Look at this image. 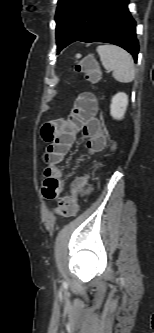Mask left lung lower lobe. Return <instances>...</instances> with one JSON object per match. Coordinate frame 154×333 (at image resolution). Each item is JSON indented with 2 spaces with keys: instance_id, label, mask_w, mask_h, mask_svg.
Segmentation results:
<instances>
[{
  "instance_id": "obj_1",
  "label": "left lung lower lobe",
  "mask_w": 154,
  "mask_h": 333,
  "mask_svg": "<svg viewBox=\"0 0 154 333\" xmlns=\"http://www.w3.org/2000/svg\"><path fill=\"white\" fill-rule=\"evenodd\" d=\"M128 2L97 0L63 48L76 41L106 42L124 48L137 61L139 45L135 21L127 8Z\"/></svg>"
}]
</instances>
